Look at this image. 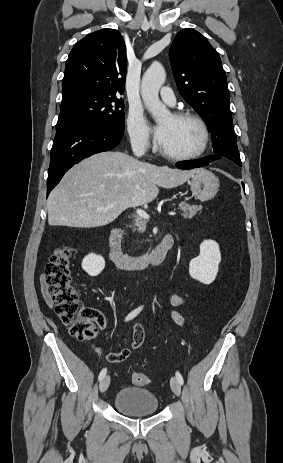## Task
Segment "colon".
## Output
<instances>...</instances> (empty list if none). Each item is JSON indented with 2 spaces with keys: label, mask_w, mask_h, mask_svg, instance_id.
Returning a JSON list of instances; mask_svg holds the SVG:
<instances>
[{
  "label": "colon",
  "mask_w": 283,
  "mask_h": 463,
  "mask_svg": "<svg viewBox=\"0 0 283 463\" xmlns=\"http://www.w3.org/2000/svg\"><path fill=\"white\" fill-rule=\"evenodd\" d=\"M71 258L69 246H61L54 251L46 265V291L57 316L69 327L71 335L80 341H90L104 326V319L98 310L82 305L72 282ZM108 359L117 362L118 356L110 354ZM130 379L137 386L150 383L149 377L140 372L132 373Z\"/></svg>",
  "instance_id": "1"
}]
</instances>
